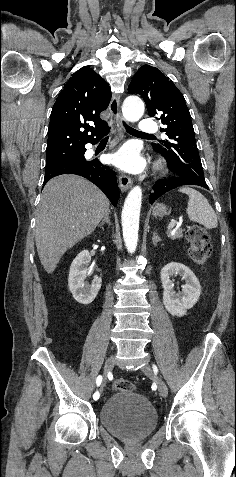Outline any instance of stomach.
<instances>
[{
  "label": "stomach",
  "mask_w": 236,
  "mask_h": 477,
  "mask_svg": "<svg viewBox=\"0 0 236 477\" xmlns=\"http://www.w3.org/2000/svg\"><path fill=\"white\" fill-rule=\"evenodd\" d=\"M154 216L162 217L167 214V208L163 204H157L153 209Z\"/></svg>",
  "instance_id": "0dacf381"
}]
</instances>
